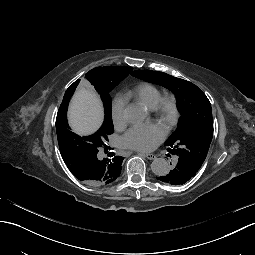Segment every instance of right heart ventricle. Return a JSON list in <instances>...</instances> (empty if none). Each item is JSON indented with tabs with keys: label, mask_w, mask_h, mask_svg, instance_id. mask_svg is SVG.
Masks as SVG:
<instances>
[{
	"label": "right heart ventricle",
	"mask_w": 255,
	"mask_h": 255,
	"mask_svg": "<svg viewBox=\"0 0 255 255\" xmlns=\"http://www.w3.org/2000/svg\"><path fill=\"white\" fill-rule=\"evenodd\" d=\"M162 96V92L156 85L152 83H141L134 91L127 94V98H133L144 107L154 110L159 98Z\"/></svg>",
	"instance_id": "1"
}]
</instances>
